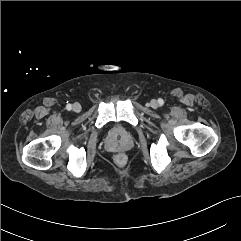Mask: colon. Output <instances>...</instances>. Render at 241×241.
<instances>
[{"instance_id":"1","label":"colon","mask_w":241,"mask_h":241,"mask_svg":"<svg viewBox=\"0 0 241 241\" xmlns=\"http://www.w3.org/2000/svg\"><path fill=\"white\" fill-rule=\"evenodd\" d=\"M115 159L119 164H123L126 161V156L124 154L120 153V154L116 155Z\"/></svg>"}]
</instances>
